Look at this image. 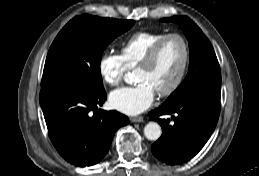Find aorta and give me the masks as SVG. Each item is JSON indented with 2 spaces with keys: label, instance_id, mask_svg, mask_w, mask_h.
Listing matches in <instances>:
<instances>
[{
  "label": "aorta",
  "instance_id": "obj_1",
  "mask_svg": "<svg viewBox=\"0 0 259 176\" xmlns=\"http://www.w3.org/2000/svg\"><path fill=\"white\" fill-rule=\"evenodd\" d=\"M162 129L156 122H149L144 127V135L148 140L156 141L160 138Z\"/></svg>",
  "mask_w": 259,
  "mask_h": 176
}]
</instances>
